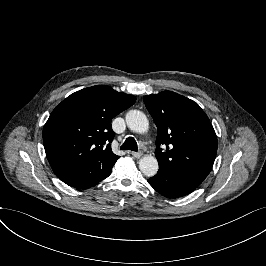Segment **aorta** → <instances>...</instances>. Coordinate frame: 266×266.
Listing matches in <instances>:
<instances>
[{"label": "aorta", "mask_w": 266, "mask_h": 266, "mask_svg": "<svg viewBox=\"0 0 266 266\" xmlns=\"http://www.w3.org/2000/svg\"><path fill=\"white\" fill-rule=\"evenodd\" d=\"M127 127L135 132H144L148 128L146 115L140 110H129L125 115ZM139 169L146 177H153L159 170V165L153 156L145 155L139 161Z\"/></svg>", "instance_id": "obj_1"}]
</instances>
